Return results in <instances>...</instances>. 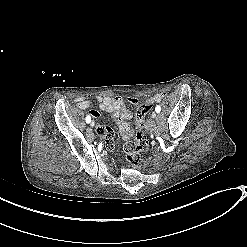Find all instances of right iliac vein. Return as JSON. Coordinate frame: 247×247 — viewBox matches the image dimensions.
Here are the masks:
<instances>
[{"label":"right iliac vein","instance_id":"right-iliac-vein-1","mask_svg":"<svg viewBox=\"0 0 247 247\" xmlns=\"http://www.w3.org/2000/svg\"><path fill=\"white\" fill-rule=\"evenodd\" d=\"M90 125L93 127L95 125L94 121L90 122Z\"/></svg>","mask_w":247,"mask_h":247}]
</instances>
